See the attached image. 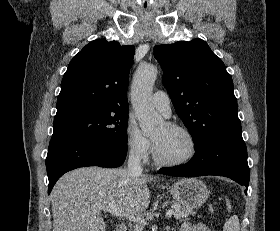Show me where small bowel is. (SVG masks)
I'll return each mask as SVG.
<instances>
[{"instance_id": "1", "label": "small bowel", "mask_w": 280, "mask_h": 231, "mask_svg": "<svg viewBox=\"0 0 280 231\" xmlns=\"http://www.w3.org/2000/svg\"><path fill=\"white\" fill-rule=\"evenodd\" d=\"M180 231H209V229L203 223L192 224L191 222H186L181 226Z\"/></svg>"}]
</instances>
